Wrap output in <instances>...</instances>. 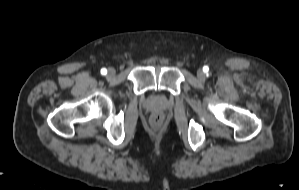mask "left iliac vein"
<instances>
[{
    "label": "left iliac vein",
    "mask_w": 299,
    "mask_h": 190,
    "mask_svg": "<svg viewBox=\"0 0 299 190\" xmlns=\"http://www.w3.org/2000/svg\"><path fill=\"white\" fill-rule=\"evenodd\" d=\"M197 77H198L199 80L204 81V80H205V77H206L204 71L201 70V69L198 70V71H197Z\"/></svg>",
    "instance_id": "4c4485c4"
}]
</instances>
